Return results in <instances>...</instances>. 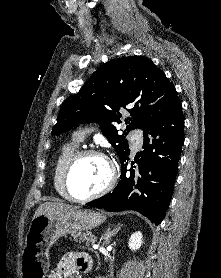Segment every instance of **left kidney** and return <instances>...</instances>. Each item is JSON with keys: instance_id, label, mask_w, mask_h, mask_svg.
Returning <instances> with one entry per match:
<instances>
[{"instance_id": "5707ae66", "label": "left kidney", "mask_w": 221, "mask_h": 278, "mask_svg": "<svg viewBox=\"0 0 221 278\" xmlns=\"http://www.w3.org/2000/svg\"><path fill=\"white\" fill-rule=\"evenodd\" d=\"M143 244V235L140 231L135 232L131 235L128 246L132 251L138 250Z\"/></svg>"}]
</instances>
